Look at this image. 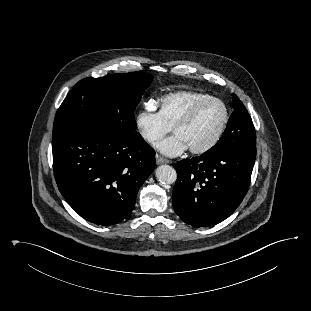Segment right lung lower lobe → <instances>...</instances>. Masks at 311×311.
Listing matches in <instances>:
<instances>
[{
    "mask_svg": "<svg viewBox=\"0 0 311 311\" xmlns=\"http://www.w3.org/2000/svg\"><path fill=\"white\" fill-rule=\"evenodd\" d=\"M58 188L82 218L114 225L128 217L139 187L155 167V151L142 136L71 133L53 138Z\"/></svg>",
    "mask_w": 311,
    "mask_h": 311,
    "instance_id": "98d812e1",
    "label": "right lung lower lobe"
}]
</instances>
